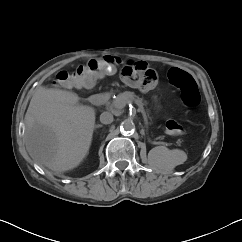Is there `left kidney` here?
<instances>
[{
	"mask_svg": "<svg viewBox=\"0 0 242 242\" xmlns=\"http://www.w3.org/2000/svg\"><path fill=\"white\" fill-rule=\"evenodd\" d=\"M160 151H161V146L155 147L150 151V154H154L156 157H158L160 155ZM176 154L178 159L176 163L172 165V167L182 164L186 160V154L183 151L176 150Z\"/></svg>",
	"mask_w": 242,
	"mask_h": 242,
	"instance_id": "1",
	"label": "left kidney"
}]
</instances>
